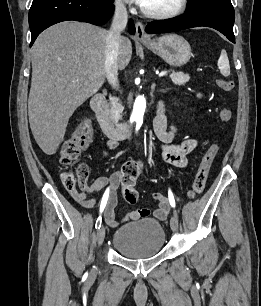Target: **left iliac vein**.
I'll list each match as a JSON object with an SVG mask.
<instances>
[{
	"label": "left iliac vein",
	"instance_id": "left-iliac-vein-1",
	"mask_svg": "<svg viewBox=\"0 0 261 306\" xmlns=\"http://www.w3.org/2000/svg\"><path fill=\"white\" fill-rule=\"evenodd\" d=\"M170 226L173 232H176L179 227V219L176 213L170 219Z\"/></svg>",
	"mask_w": 261,
	"mask_h": 306
}]
</instances>
